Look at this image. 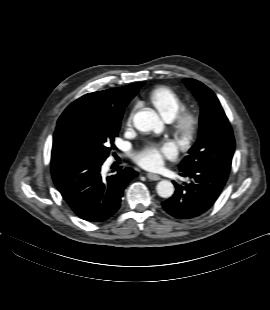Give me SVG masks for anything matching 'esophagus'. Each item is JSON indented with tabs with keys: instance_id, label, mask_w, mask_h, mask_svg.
<instances>
[{
	"instance_id": "34e87169",
	"label": "esophagus",
	"mask_w": 270,
	"mask_h": 310,
	"mask_svg": "<svg viewBox=\"0 0 270 310\" xmlns=\"http://www.w3.org/2000/svg\"><path fill=\"white\" fill-rule=\"evenodd\" d=\"M146 175L148 179L153 180V181H158L161 179L159 175L154 174V173H147Z\"/></svg>"
}]
</instances>
